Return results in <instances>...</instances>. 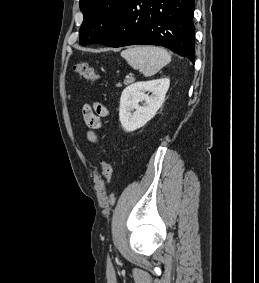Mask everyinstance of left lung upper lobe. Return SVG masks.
<instances>
[{
    "label": "left lung upper lobe",
    "mask_w": 259,
    "mask_h": 283,
    "mask_svg": "<svg viewBox=\"0 0 259 283\" xmlns=\"http://www.w3.org/2000/svg\"><path fill=\"white\" fill-rule=\"evenodd\" d=\"M130 0H80L84 15L80 29V44H96L115 29Z\"/></svg>",
    "instance_id": "5c2ea615"
}]
</instances>
